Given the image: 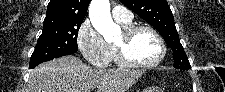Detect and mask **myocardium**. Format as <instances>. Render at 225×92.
Listing matches in <instances>:
<instances>
[{"label": "myocardium", "mask_w": 225, "mask_h": 92, "mask_svg": "<svg viewBox=\"0 0 225 92\" xmlns=\"http://www.w3.org/2000/svg\"><path fill=\"white\" fill-rule=\"evenodd\" d=\"M141 30H147L151 32L160 46V54L158 58L150 63L138 62L130 56L128 51L132 38L137 32ZM115 48L120 64L133 69H147L159 65L164 60L167 51L165 41L160 33L154 27L146 24L130 25L129 27L125 28L122 33V40L120 43H115Z\"/></svg>", "instance_id": "obj_1"}]
</instances>
